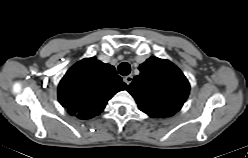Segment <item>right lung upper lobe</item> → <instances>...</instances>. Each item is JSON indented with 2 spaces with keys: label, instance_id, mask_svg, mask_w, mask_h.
<instances>
[{
  "label": "right lung upper lobe",
  "instance_id": "cb5924a9",
  "mask_svg": "<svg viewBox=\"0 0 248 158\" xmlns=\"http://www.w3.org/2000/svg\"><path fill=\"white\" fill-rule=\"evenodd\" d=\"M126 84L113 66L85 58L73 65L61 79L58 100L72 116L90 119L102 112L110 98Z\"/></svg>",
  "mask_w": 248,
  "mask_h": 158
}]
</instances>
